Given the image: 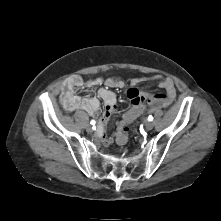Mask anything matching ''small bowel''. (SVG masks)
Returning <instances> with one entry per match:
<instances>
[{
	"label": "small bowel",
	"instance_id": "1",
	"mask_svg": "<svg viewBox=\"0 0 221 221\" xmlns=\"http://www.w3.org/2000/svg\"><path fill=\"white\" fill-rule=\"evenodd\" d=\"M147 79L158 80L159 87L165 90V94L160 95H162L163 98H168L170 104V102L176 96V87L174 81L169 77L162 78L160 76H154L152 78L136 77L131 79V85L135 87ZM82 86H85L89 89H95L97 87H100L98 90V95L104 102V112L99 120L97 135L103 144L109 145L113 143L114 138L116 137V133L114 137L108 136L106 134V125L113 113L115 112L117 104V96L112 91V89L123 88L124 81L118 77H108L106 79L99 77L85 82L81 77L75 76L66 82L65 88L61 94V100L64 107L70 111L81 109L87 112L89 115L97 117L100 110V102L98 98L94 96L85 98H81L80 96H78L76 94V90ZM127 95L131 102L132 108L137 103L144 101L146 99L147 93L140 92L136 88H131L128 91Z\"/></svg>",
	"mask_w": 221,
	"mask_h": 221
}]
</instances>
